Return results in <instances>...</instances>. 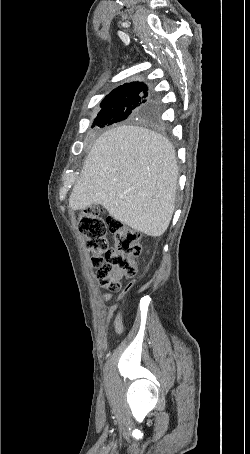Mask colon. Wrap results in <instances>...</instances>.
I'll return each instance as SVG.
<instances>
[{
  "instance_id": "5ec220e1",
  "label": "colon",
  "mask_w": 250,
  "mask_h": 454,
  "mask_svg": "<svg viewBox=\"0 0 250 454\" xmlns=\"http://www.w3.org/2000/svg\"><path fill=\"white\" fill-rule=\"evenodd\" d=\"M78 227L91 252V263L102 287L109 293L121 288V279L136 274L134 258L141 254L140 235L114 218H105L96 207L79 216ZM114 235V246L108 234Z\"/></svg>"
}]
</instances>
